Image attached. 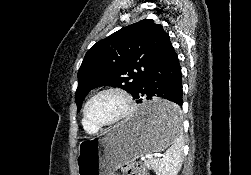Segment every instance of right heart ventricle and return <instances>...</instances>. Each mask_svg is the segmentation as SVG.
<instances>
[{
	"instance_id": "right-heart-ventricle-1",
	"label": "right heart ventricle",
	"mask_w": 251,
	"mask_h": 175,
	"mask_svg": "<svg viewBox=\"0 0 251 175\" xmlns=\"http://www.w3.org/2000/svg\"><path fill=\"white\" fill-rule=\"evenodd\" d=\"M82 125H83V128H84L85 132L90 134V135H96L99 132V130L93 128L87 122H84L83 120H82Z\"/></svg>"
}]
</instances>
